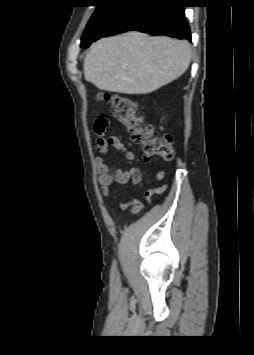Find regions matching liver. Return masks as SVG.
<instances>
[{"label": "liver", "instance_id": "1", "mask_svg": "<svg viewBox=\"0 0 254 355\" xmlns=\"http://www.w3.org/2000/svg\"><path fill=\"white\" fill-rule=\"evenodd\" d=\"M191 57L188 41L131 31L94 43L83 70L85 79L100 90L146 94L179 78Z\"/></svg>", "mask_w": 254, "mask_h": 355}]
</instances>
